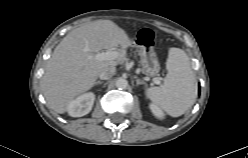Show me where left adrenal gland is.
Here are the masks:
<instances>
[{"label":"left adrenal gland","mask_w":248,"mask_h":158,"mask_svg":"<svg viewBox=\"0 0 248 158\" xmlns=\"http://www.w3.org/2000/svg\"><path fill=\"white\" fill-rule=\"evenodd\" d=\"M136 84L137 85H146V83L144 81H141L138 78L136 79Z\"/></svg>","instance_id":"left-adrenal-gland-1"}]
</instances>
